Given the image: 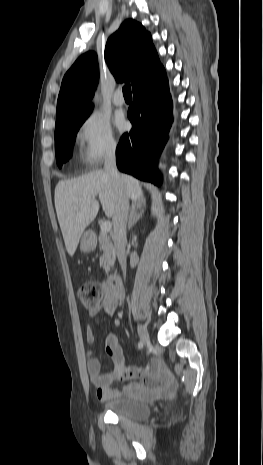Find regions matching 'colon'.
Instances as JSON below:
<instances>
[{"label":"colon","instance_id":"obj_1","mask_svg":"<svg viewBox=\"0 0 263 465\" xmlns=\"http://www.w3.org/2000/svg\"><path fill=\"white\" fill-rule=\"evenodd\" d=\"M105 296V288L96 282L86 281L79 288V298L84 306L93 308L102 301Z\"/></svg>","mask_w":263,"mask_h":465}]
</instances>
